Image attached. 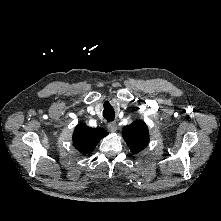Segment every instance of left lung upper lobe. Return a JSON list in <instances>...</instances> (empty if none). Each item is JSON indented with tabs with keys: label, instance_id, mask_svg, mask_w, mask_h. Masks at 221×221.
Wrapping results in <instances>:
<instances>
[{
	"label": "left lung upper lobe",
	"instance_id": "left-lung-upper-lobe-1",
	"mask_svg": "<svg viewBox=\"0 0 221 221\" xmlns=\"http://www.w3.org/2000/svg\"><path fill=\"white\" fill-rule=\"evenodd\" d=\"M123 138L134 153L142 151L149 143V131L147 125L137 120L123 128Z\"/></svg>",
	"mask_w": 221,
	"mask_h": 221
}]
</instances>
